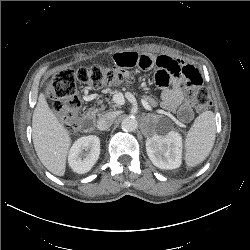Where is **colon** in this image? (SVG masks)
<instances>
[{
    "mask_svg": "<svg viewBox=\"0 0 250 250\" xmlns=\"http://www.w3.org/2000/svg\"><path fill=\"white\" fill-rule=\"evenodd\" d=\"M76 81L93 89H100L129 84L132 78L125 71L97 65L81 67L77 70L67 68L58 71L48 85L46 95L52 102L62 124L68 130L76 128L78 113L81 110V102L76 94ZM192 103L197 112L207 110L212 104L211 97L205 88H199L196 91Z\"/></svg>",
    "mask_w": 250,
    "mask_h": 250,
    "instance_id": "obj_1",
    "label": "colon"
}]
</instances>
